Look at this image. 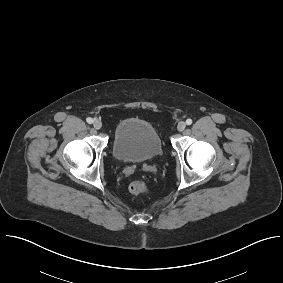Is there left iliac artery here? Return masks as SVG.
Here are the masks:
<instances>
[{
  "instance_id": "1",
  "label": "left iliac artery",
  "mask_w": 283,
  "mask_h": 283,
  "mask_svg": "<svg viewBox=\"0 0 283 283\" xmlns=\"http://www.w3.org/2000/svg\"><path fill=\"white\" fill-rule=\"evenodd\" d=\"M186 124H187V125H191V124H192V119H190V118L187 119V120H186Z\"/></svg>"
}]
</instances>
